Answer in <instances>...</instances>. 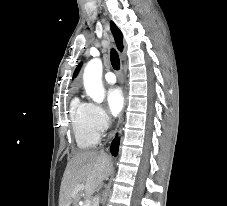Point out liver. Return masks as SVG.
<instances>
[{
    "instance_id": "liver-1",
    "label": "liver",
    "mask_w": 227,
    "mask_h": 206,
    "mask_svg": "<svg viewBox=\"0 0 227 206\" xmlns=\"http://www.w3.org/2000/svg\"><path fill=\"white\" fill-rule=\"evenodd\" d=\"M112 169L111 158L103 152L77 153L68 163L60 187L59 206H77L82 192L89 197ZM83 185V190L77 187Z\"/></svg>"
}]
</instances>
